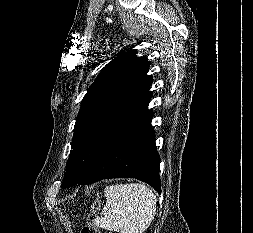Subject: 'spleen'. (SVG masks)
<instances>
[{"instance_id":"spleen-1","label":"spleen","mask_w":253,"mask_h":233,"mask_svg":"<svg viewBox=\"0 0 253 233\" xmlns=\"http://www.w3.org/2000/svg\"><path fill=\"white\" fill-rule=\"evenodd\" d=\"M103 216L96 227L120 233H143L156 214V195L144 184L107 186Z\"/></svg>"}]
</instances>
